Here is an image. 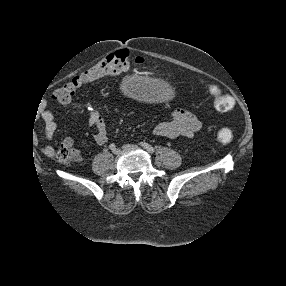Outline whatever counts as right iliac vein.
<instances>
[{
	"mask_svg": "<svg viewBox=\"0 0 286 286\" xmlns=\"http://www.w3.org/2000/svg\"><path fill=\"white\" fill-rule=\"evenodd\" d=\"M112 152H113V154L118 155L120 153V150L115 148Z\"/></svg>",
	"mask_w": 286,
	"mask_h": 286,
	"instance_id": "right-iliac-vein-1",
	"label": "right iliac vein"
}]
</instances>
